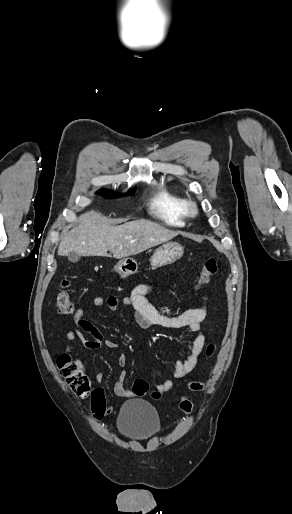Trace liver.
<instances>
[{
    "instance_id": "1",
    "label": "liver",
    "mask_w": 292,
    "mask_h": 514,
    "mask_svg": "<svg viewBox=\"0 0 292 514\" xmlns=\"http://www.w3.org/2000/svg\"><path fill=\"white\" fill-rule=\"evenodd\" d=\"M179 232L167 230L156 222L134 220L122 226H111L110 220L98 212H86L78 218V226L65 234L59 244L58 256L76 252L80 256L128 258L153 246L169 242Z\"/></svg>"
}]
</instances>
